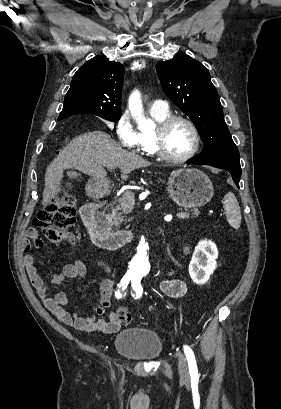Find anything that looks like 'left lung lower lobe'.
Returning a JSON list of instances; mask_svg holds the SVG:
<instances>
[{
	"instance_id": "1",
	"label": "left lung lower lobe",
	"mask_w": 281,
	"mask_h": 409,
	"mask_svg": "<svg viewBox=\"0 0 281 409\" xmlns=\"http://www.w3.org/2000/svg\"><path fill=\"white\" fill-rule=\"evenodd\" d=\"M188 164L210 165L220 169L229 171L232 178L239 188V180L241 176L240 160L236 157H210V158H194Z\"/></svg>"
}]
</instances>
